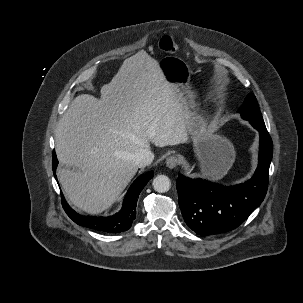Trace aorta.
Returning <instances> with one entry per match:
<instances>
[{
  "instance_id": "obj_1",
  "label": "aorta",
  "mask_w": 303,
  "mask_h": 303,
  "mask_svg": "<svg viewBox=\"0 0 303 303\" xmlns=\"http://www.w3.org/2000/svg\"><path fill=\"white\" fill-rule=\"evenodd\" d=\"M153 188L159 193H165L170 189V179L166 175H158L153 179Z\"/></svg>"
}]
</instances>
